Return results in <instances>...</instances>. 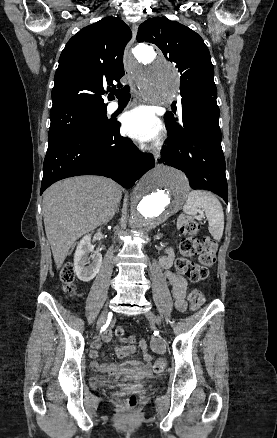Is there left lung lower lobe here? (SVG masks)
Masks as SVG:
<instances>
[{
  "instance_id": "0a47b994",
  "label": "left lung lower lobe",
  "mask_w": 277,
  "mask_h": 438,
  "mask_svg": "<svg viewBox=\"0 0 277 438\" xmlns=\"http://www.w3.org/2000/svg\"><path fill=\"white\" fill-rule=\"evenodd\" d=\"M167 130L170 137L159 163L182 170L192 189L212 191L227 203L228 187L216 98L209 96L182 105L175 129Z\"/></svg>"
}]
</instances>
